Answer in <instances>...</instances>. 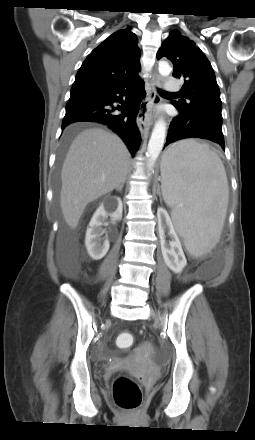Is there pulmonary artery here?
Here are the masks:
<instances>
[{
	"label": "pulmonary artery",
	"instance_id": "obj_1",
	"mask_svg": "<svg viewBox=\"0 0 255 440\" xmlns=\"http://www.w3.org/2000/svg\"><path fill=\"white\" fill-rule=\"evenodd\" d=\"M165 88L168 92H178L180 90L179 84L172 77L167 78Z\"/></svg>",
	"mask_w": 255,
	"mask_h": 440
}]
</instances>
